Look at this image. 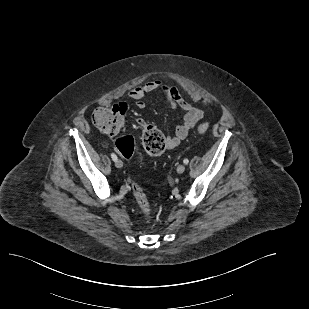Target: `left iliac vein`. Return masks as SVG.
Wrapping results in <instances>:
<instances>
[{
	"mask_svg": "<svg viewBox=\"0 0 309 309\" xmlns=\"http://www.w3.org/2000/svg\"><path fill=\"white\" fill-rule=\"evenodd\" d=\"M184 171H185V165L180 164V165L177 167V173L182 174Z\"/></svg>",
	"mask_w": 309,
	"mask_h": 309,
	"instance_id": "1",
	"label": "left iliac vein"
}]
</instances>
